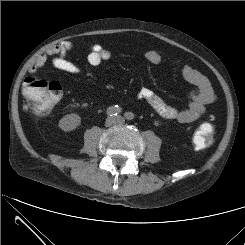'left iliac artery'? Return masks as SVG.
I'll list each match as a JSON object with an SVG mask.
<instances>
[{
  "label": "left iliac artery",
  "mask_w": 245,
  "mask_h": 245,
  "mask_svg": "<svg viewBox=\"0 0 245 245\" xmlns=\"http://www.w3.org/2000/svg\"><path fill=\"white\" fill-rule=\"evenodd\" d=\"M124 116L127 120H132L134 118V115L131 112H126Z\"/></svg>",
  "instance_id": "obj_1"
}]
</instances>
